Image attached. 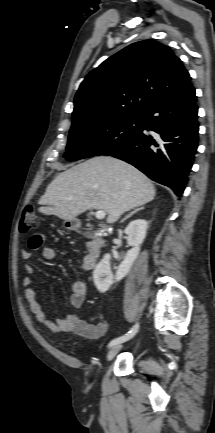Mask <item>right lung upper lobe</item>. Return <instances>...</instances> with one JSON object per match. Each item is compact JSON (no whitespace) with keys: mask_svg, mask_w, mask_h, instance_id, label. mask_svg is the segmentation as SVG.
I'll use <instances>...</instances> for the list:
<instances>
[{"mask_svg":"<svg viewBox=\"0 0 215 433\" xmlns=\"http://www.w3.org/2000/svg\"><path fill=\"white\" fill-rule=\"evenodd\" d=\"M190 79L168 46L154 40L133 43L105 60L81 83L74 99L72 125L143 116Z\"/></svg>","mask_w":215,"mask_h":433,"instance_id":"cb5924a9","label":"right lung upper lobe"}]
</instances>
